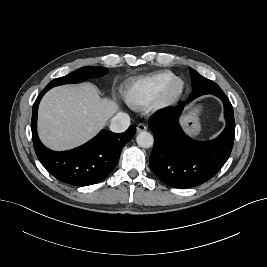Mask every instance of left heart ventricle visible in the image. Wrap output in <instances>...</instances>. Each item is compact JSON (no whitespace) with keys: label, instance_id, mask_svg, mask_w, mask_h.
I'll return each mask as SVG.
<instances>
[{"label":"left heart ventricle","instance_id":"obj_1","mask_svg":"<svg viewBox=\"0 0 267 267\" xmlns=\"http://www.w3.org/2000/svg\"><path fill=\"white\" fill-rule=\"evenodd\" d=\"M178 88V85H176L175 87H174V89L176 90Z\"/></svg>","mask_w":267,"mask_h":267}]
</instances>
